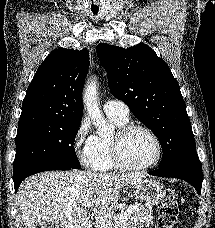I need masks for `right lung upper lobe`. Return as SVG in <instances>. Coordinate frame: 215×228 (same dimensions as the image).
Returning a JSON list of instances; mask_svg holds the SVG:
<instances>
[{"label": "right lung upper lobe", "mask_w": 215, "mask_h": 228, "mask_svg": "<svg viewBox=\"0 0 215 228\" xmlns=\"http://www.w3.org/2000/svg\"><path fill=\"white\" fill-rule=\"evenodd\" d=\"M88 66L87 49L53 50L39 66L27 89L18 127L81 121V97Z\"/></svg>", "instance_id": "right-lung-upper-lobe-1"}]
</instances>
